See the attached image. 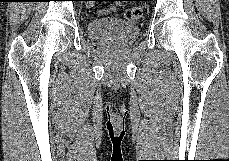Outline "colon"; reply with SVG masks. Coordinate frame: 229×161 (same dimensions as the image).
Returning <instances> with one entry per match:
<instances>
[{"mask_svg":"<svg viewBox=\"0 0 229 161\" xmlns=\"http://www.w3.org/2000/svg\"><path fill=\"white\" fill-rule=\"evenodd\" d=\"M95 1H98V0H89V2H90L89 5L93 6ZM141 15H142V11L140 8H129L125 12V17L128 20H137L141 17Z\"/></svg>","mask_w":229,"mask_h":161,"instance_id":"5ec220e1","label":"colon"}]
</instances>
